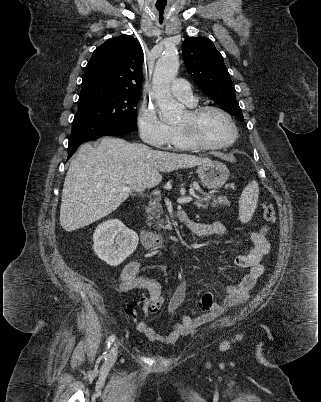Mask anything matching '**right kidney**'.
Listing matches in <instances>:
<instances>
[{
	"label": "right kidney",
	"instance_id": "ca27d5eb",
	"mask_svg": "<svg viewBox=\"0 0 321 402\" xmlns=\"http://www.w3.org/2000/svg\"><path fill=\"white\" fill-rule=\"evenodd\" d=\"M138 240V235L120 220L110 219L97 226L93 249L101 260L115 267L136 250Z\"/></svg>",
	"mask_w": 321,
	"mask_h": 402
}]
</instances>
